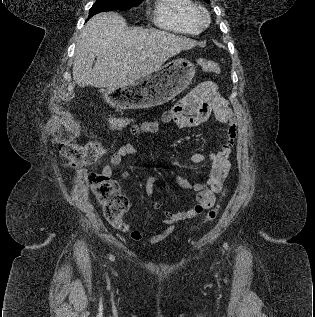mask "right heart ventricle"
I'll return each instance as SVG.
<instances>
[{
	"instance_id": "e07e8e85",
	"label": "right heart ventricle",
	"mask_w": 315,
	"mask_h": 317,
	"mask_svg": "<svg viewBox=\"0 0 315 317\" xmlns=\"http://www.w3.org/2000/svg\"><path fill=\"white\" fill-rule=\"evenodd\" d=\"M195 7L192 0H155L153 22L156 26L182 34H197L191 15Z\"/></svg>"
}]
</instances>
